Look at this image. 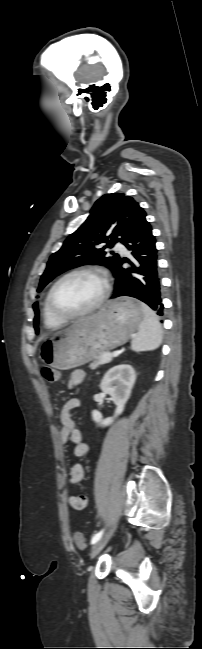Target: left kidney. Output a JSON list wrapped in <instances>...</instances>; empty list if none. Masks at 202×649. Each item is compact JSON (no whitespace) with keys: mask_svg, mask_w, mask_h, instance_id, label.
I'll return each mask as SVG.
<instances>
[{"mask_svg":"<svg viewBox=\"0 0 202 649\" xmlns=\"http://www.w3.org/2000/svg\"><path fill=\"white\" fill-rule=\"evenodd\" d=\"M135 380V371L127 364L115 366L104 375L100 383V389L111 396V400L116 405V410L113 417L106 419H103L102 414L98 410L92 411V419L95 423L99 426L106 427L112 424L117 416L122 414Z\"/></svg>","mask_w":202,"mask_h":649,"instance_id":"5707ae66","label":"left kidney"}]
</instances>
